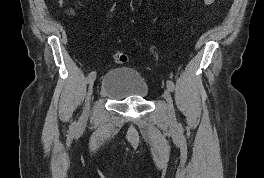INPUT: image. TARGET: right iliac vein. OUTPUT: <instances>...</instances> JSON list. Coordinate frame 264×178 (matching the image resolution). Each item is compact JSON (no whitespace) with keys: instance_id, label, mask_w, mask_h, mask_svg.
Listing matches in <instances>:
<instances>
[{"instance_id":"right-iliac-vein-1","label":"right iliac vein","mask_w":264,"mask_h":178,"mask_svg":"<svg viewBox=\"0 0 264 178\" xmlns=\"http://www.w3.org/2000/svg\"><path fill=\"white\" fill-rule=\"evenodd\" d=\"M94 80H95V77L92 78L89 82L88 93H87L86 103H85V109H84L83 115L81 117L82 122H85L87 119V114H88V110H89V101H90V98L93 94Z\"/></svg>"}]
</instances>
